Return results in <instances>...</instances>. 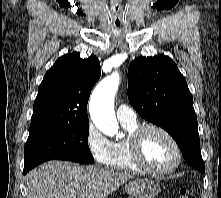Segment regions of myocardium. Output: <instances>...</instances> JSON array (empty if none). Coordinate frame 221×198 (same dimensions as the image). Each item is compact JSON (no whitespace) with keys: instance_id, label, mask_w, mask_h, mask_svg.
Returning a JSON list of instances; mask_svg holds the SVG:
<instances>
[{"instance_id":"obj_1","label":"myocardium","mask_w":221,"mask_h":198,"mask_svg":"<svg viewBox=\"0 0 221 198\" xmlns=\"http://www.w3.org/2000/svg\"><path fill=\"white\" fill-rule=\"evenodd\" d=\"M151 130H155V131L162 133L172 143L176 152V160H175V163L171 167L166 168V169H156L146 163L144 156H143V139H144L145 134ZM129 144H130L132 158L135 164L143 172H146L148 174L155 175V176L168 175L170 173H173L175 170H177L182 162V150L177 139L172 135L171 132H169L166 128L160 125L151 123V124H145V125L139 126L131 134L130 139H129Z\"/></svg>"}]
</instances>
